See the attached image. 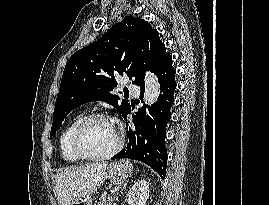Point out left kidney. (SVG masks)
I'll return each mask as SVG.
<instances>
[{"instance_id": "left-kidney-1", "label": "left kidney", "mask_w": 269, "mask_h": 205, "mask_svg": "<svg viewBox=\"0 0 269 205\" xmlns=\"http://www.w3.org/2000/svg\"><path fill=\"white\" fill-rule=\"evenodd\" d=\"M149 184L146 180L136 181L127 194L129 205H146L149 198Z\"/></svg>"}]
</instances>
